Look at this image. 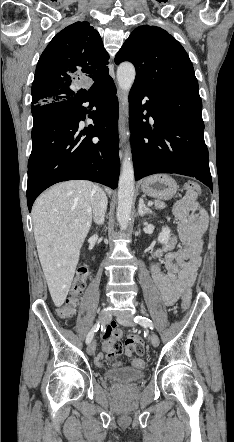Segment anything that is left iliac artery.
<instances>
[{
  "mask_svg": "<svg viewBox=\"0 0 234 442\" xmlns=\"http://www.w3.org/2000/svg\"><path fill=\"white\" fill-rule=\"evenodd\" d=\"M134 322L140 324L143 327H149L150 329L154 328L153 322L144 316H135Z\"/></svg>",
  "mask_w": 234,
  "mask_h": 442,
  "instance_id": "1",
  "label": "left iliac artery"
}]
</instances>
